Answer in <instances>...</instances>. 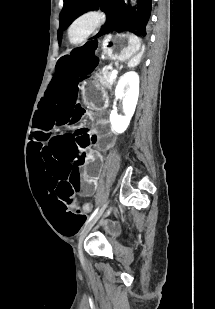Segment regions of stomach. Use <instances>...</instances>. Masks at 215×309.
Returning <instances> with one entry per match:
<instances>
[{"label": "stomach", "mask_w": 215, "mask_h": 309, "mask_svg": "<svg viewBox=\"0 0 215 309\" xmlns=\"http://www.w3.org/2000/svg\"><path fill=\"white\" fill-rule=\"evenodd\" d=\"M102 55L112 61H126L139 52L141 40L139 37L126 33L117 32L106 35L102 41ZM83 92L88 100L94 103L102 102L105 99L104 86L101 83L100 75H94L83 83Z\"/></svg>", "instance_id": "obj_1"}]
</instances>
